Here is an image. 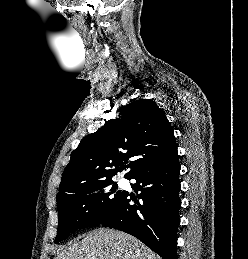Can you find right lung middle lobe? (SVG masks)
<instances>
[{
    "label": "right lung middle lobe",
    "mask_w": 248,
    "mask_h": 259,
    "mask_svg": "<svg viewBox=\"0 0 248 259\" xmlns=\"http://www.w3.org/2000/svg\"><path fill=\"white\" fill-rule=\"evenodd\" d=\"M126 191L112 180L73 188L57 200L59 226L54 243L80 228L100 225L114 216Z\"/></svg>",
    "instance_id": "obj_1"
}]
</instances>
